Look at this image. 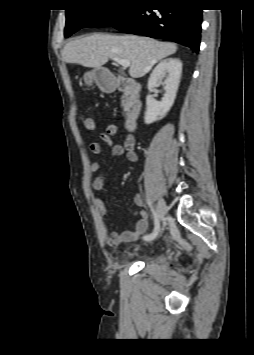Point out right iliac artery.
Listing matches in <instances>:
<instances>
[{"label": "right iliac artery", "mask_w": 254, "mask_h": 355, "mask_svg": "<svg viewBox=\"0 0 254 355\" xmlns=\"http://www.w3.org/2000/svg\"><path fill=\"white\" fill-rule=\"evenodd\" d=\"M147 203H148V205H149V207L151 209L152 216H153V218L155 220V227H154L153 232L151 234H149V235H145L143 237V239L145 241H151L158 235V233L160 231V225H159V222H158L157 214H156L155 210L153 209V207L151 206L150 201L148 200Z\"/></svg>", "instance_id": "obj_1"}]
</instances>
